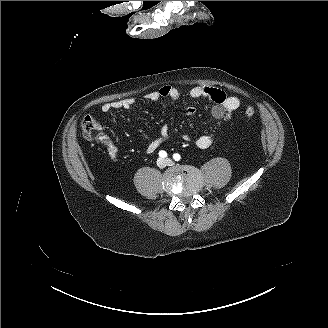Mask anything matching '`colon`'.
I'll use <instances>...</instances> for the list:
<instances>
[{
    "instance_id": "obj_1",
    "label": "colon",
    "mask_w": 328,
    "mask_h": 328,
    "mask_svg": "<svg viewBox=\"0 0 328 328\" xmlns=\"http://www.w3.org/2000/svg\"><path fill=\"white\" fill-rule=\"evenodd\" d=\"M245 115L248 118H251L255 115V109L253 107H247L245 109ZM82 131L83 135L87 139H103V136L101 135V126L98 123L97 120H95L91 116H86L82 120Z\"/></svg>"
}]
</instances>
